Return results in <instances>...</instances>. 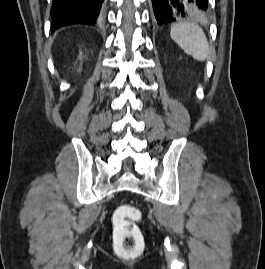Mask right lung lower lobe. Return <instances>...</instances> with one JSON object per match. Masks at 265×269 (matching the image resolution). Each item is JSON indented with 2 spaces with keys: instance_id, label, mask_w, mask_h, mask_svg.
Masks as SVG:
<instances>
[{
  "instance_id": "right-lung-lower-lobe-1",
  "label": "right lung lower lobe",
  "mask_w": 265,
  "mask_h": 269,
  "mask_svg": "<svg viewBox=\"0 0 265 269\" xmlns=\"http://www.w3.org/2000/svg\"><path fill=\"white\" fill-rule=\"evenodd\" d=\"M104 0H53L51 31L72 24H95Z\"/></svg>"
}]
</instances>
